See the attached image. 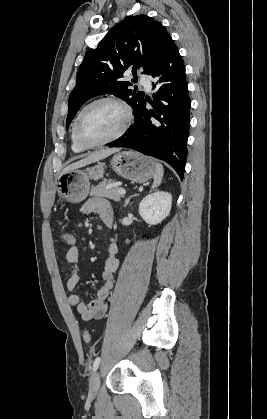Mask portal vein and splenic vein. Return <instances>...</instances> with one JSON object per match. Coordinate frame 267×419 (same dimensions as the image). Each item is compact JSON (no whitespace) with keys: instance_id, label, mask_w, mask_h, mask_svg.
Here are the masks:
<instances>
[{"instance_id":"18ae733b","label":"portal vein and splenic vein","mask_w":267,"mask_h":419,"mask_svg":"<svg viewBox=\"0 0 267 419\" xmlns=\"http://www.w3.org/2000/svg\"><path fill=\"white\" fill-rule=\"evenodd\" d=\"M125 193H126L125 189H122V188L118 189V194L123 196V195H125Z\"/></svg>"}]
</instances>
